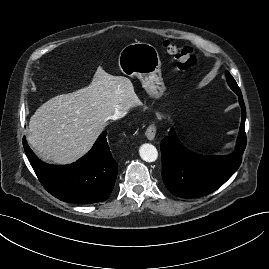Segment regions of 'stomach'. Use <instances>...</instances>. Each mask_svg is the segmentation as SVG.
Instances as JSON below:
<instances>
[{
  "label": "stomach",
  "instance_id": "obj_1",
  "mask_svg": "<svg viewBox=\"0 0 269 269\" xmlns=\"http://www.w3.org/2000/svg\"><path fill=\"white\" fill-rule=\"evenodd\" d=\"M118 65L126 75L138 77L151 95L158 96L164 92L161 61L153 45L137 42L125 46L119 54Z\"/></svg>",
  "mask_w": 269,
  "mask_h": 269
}]
</instances>
